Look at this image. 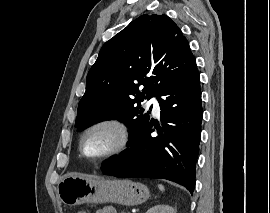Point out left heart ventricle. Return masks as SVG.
<instances>
[{
  "instance_id": "1",
  "label": "left heart ventricle",
  "mask_w": 270,
  "mask_h": 213,
  "mask_svg": "<svg viewBox=\"0 0 270 213\" xmlns=\"http://www.w3.org/2000/svg\"><path fill=\"white\" fill-rule=\"evenodd\" d=\"M118 141L117 133L109 128H99L90 132L84 140V151L88 156L97 157Z\"/></svg>"
}]
</instances>
